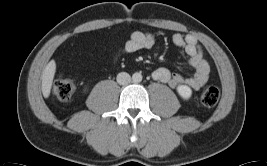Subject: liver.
Here are the masks:
<instances>
[{
  "label": "liver",
  "instance_id": "6515ba94",
  "mask_svg": "<svg viewBox=\"0 0 267 166\" xmlns=\"http://www.w3.org/2000/svg\"><path fill=\"white\" fill-rule=\"evenodd\" d=\"M55 72H56V63L54 60H51L46 65L41 76L42 79L41 90L45 98H48L50 95Z\"/></svg>",
  "mask_w": 267,
  "mask_h": 166
}]
</instances>
